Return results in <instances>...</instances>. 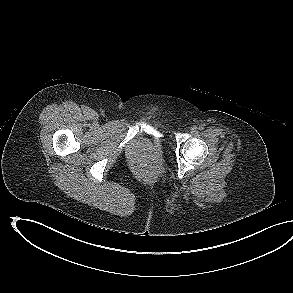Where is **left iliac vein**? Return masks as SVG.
<instances>
[{
    "label": "left iliac vein",
    "mask_w": 293,
    "mask_h": 293,
    "mask_svg": "<svg viewBox=\"0 0 293 293\" xmlns=\"http://www.w3.org/2000/svg\"><path fill=\"white\" fill-rule=\"evenodd\" d=\"M191 133L192 134H196L197 133V127L196 126H192L191 127Z\"/></svg>",
    "instance_id": "obj_1"
}]
</instances>
